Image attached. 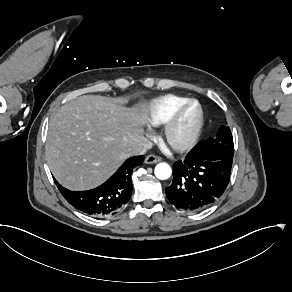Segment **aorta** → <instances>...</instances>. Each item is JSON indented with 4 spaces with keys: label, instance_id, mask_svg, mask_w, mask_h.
<instances>
[{
    "label": "aorta",
    "instance_id": "762f6f07",
    "mask_svg": "<svg viewBox=\"0 0 292 292\" xmlns=\"http://www.w3.org/2000/svg\"><path fill=\"white\" fill-rule=\"evenodd\" d=\"M172 170L167 163H159L155 167V176L158 179L165 180L171 176Z\"/></svg>",
    "mask_w": 292,
    "mask_h": 292
}]
</instances>
